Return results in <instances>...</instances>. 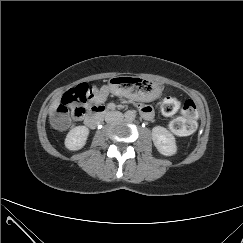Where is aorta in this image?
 I'll return each mask as SVG.
<instances>
[{"label": "aorta", "mask_w": 243, "mask_h": 243, "mask_svg": "<svg viewBox=\"0 0 243 243\" xmlns=\"http://www.w3.org/2000/svg\"><path fill=\"white\" fill-rule=\"evenodd\" d=\"M125 119L128 121H133L136 117V112L134 110H128L124 114Z\"/></svg>", "instance_id": "762f6f07"}]
</instances>
